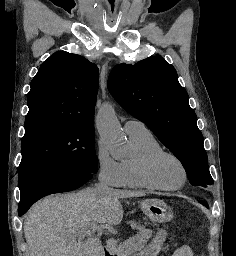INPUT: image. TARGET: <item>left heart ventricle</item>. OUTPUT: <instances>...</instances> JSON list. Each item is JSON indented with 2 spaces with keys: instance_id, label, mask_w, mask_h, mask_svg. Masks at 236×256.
Returning <instances> with one entry per match:
<instances>
[{
  "instance_id": "left-heart-ventricle-1",
  "label": "left heart ventricle",
  "mask_w": 236,
  "mask_h": 256,
  "mask_svg": "<svg viewBox=\"0 0 236 256\" xmlns=\"http://www.w3.org/2000/svg\"><path fill=\"white\" fill-rule=\"evenodd\" d=\"M158 178L166 185L176 186L184 179L182 167L171 157H164L157 165Z\"/></svg>"
}]
</instances>
